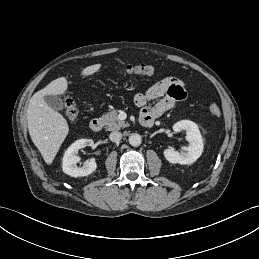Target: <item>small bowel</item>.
Returning <instances> with one entry per match:
<instances>
[{
  "label": "small bowel",
  "mask_w": 259,
  "mask_h": 259,
  "mask_svg": "<svg viewBox=\"0 0 259 259\" xmlns=\"http://www.w3.org/2000/svg\"><path fill=\"white\" fill-rule=\"evenodd\" d=\"M186 98L184 83L178 78L166 77L146 91L137 93L134 102L141 109V117H150L154 120L175 109ZM156 99L159 101L153 107H148V103Z\"/></svg>",
  "instance_id": "1"
}]
</instances>
